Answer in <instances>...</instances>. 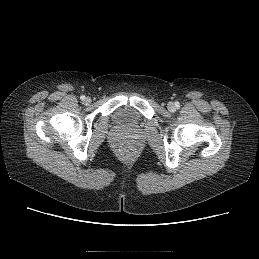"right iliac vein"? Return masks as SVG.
Masks as SVG:
<instances>
[{"mask_svg":"<svg viewBox=\"0 0 259 259\" xmlns=\"http://www.w3.org/2000/svg\"><path fill=\"white\" fill-rule=\"evenodd\" d=\"M85 103H86V104H90V103H91V99H90L89 97L86 98V99H85Z\"/></svg>","mask_w":259,"mask_h":259,"instance_id":"63e3f726","label":"right iliac vein"}]
</instances>
